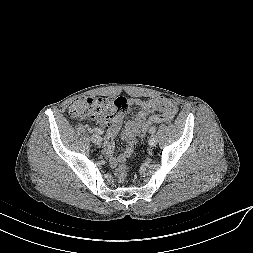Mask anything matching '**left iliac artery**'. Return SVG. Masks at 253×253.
Returning a JSON list of instances; mask_svg holds the SVG:
<instances>
[{
  "instance_id": "44dca946",
  "label": "left iliac artery",
  "mask_w": 253,
  "mask_h": 253,
  "mask_svg": "<svg viewBox=\"0 0 253 253\" xmlns=\"http://www.w3.org/2000/svg\"><path fill=\"white\" fill-rule=\"evenodd\" d=\"M156 132V127L155 126H152L150 129H149V133L150 134H154Z\"/></svg>"
}]
</instances>
